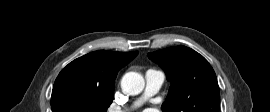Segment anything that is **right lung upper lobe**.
Listing matches in <instances>:
<instances>
[{
  "label": "right lung upper lobe",
  "instance_id": "cb5924a9",
  "mask_svg": "<svg viewBox=\"0 0 270 112\" xmlns=\"http://www.w3.org/2000/svg\"><path fill=\"white\" fill-rule=\"evenodd\" d=\"M138 51L113 52L99 50L75 59L59 73L53 91L73 86L90 92L113 94L118 71L133 60Z\"/></svg>",
  "mask_w": 270,
  "mask_h": 112
}]
</instances>
